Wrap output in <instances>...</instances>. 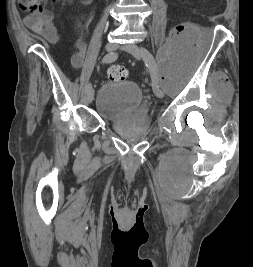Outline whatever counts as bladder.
Segmentation results:
<instances>
[{"mask_svg":"<svg viewBox=\"0 0 253 267\" xmlns=\"http://www.w3.org/2000/svg\"><path fill=\"white\" fill-rule=\"evenodd\" d=\"M140 87L132 81H111L104 83L98 91L96 107L99 112L116 115L133 111L143 102Z\"/></svg>","mask_w":253,"mask_h":267,"instance_id":"31cf9c89","label":"bladder"}]
</instances>
